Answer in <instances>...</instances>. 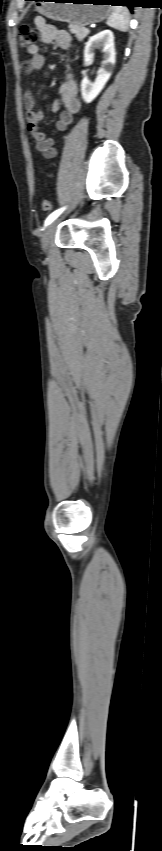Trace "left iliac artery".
Masks as SVG:
<instances>
[{"label": "left iliac artery", "instance_id": "obj_1", "mask_svg": "<svg viewBox=\"0 0 162 851\" xmlns=\"http://www.w3.org/2000/svg\"><path fill=\"white\" fill-rule=\"evenodd\" d=\"M63 210H64V208H61V209H58V210L54 211L53 213H51V214L47 217V219L45 220V226H47V225H49L51 222H53V221H54V220H55V219H56V218H57V217L61 214V212H62Z\"/></svg>", "mask_w": 162, "mask_h": 851}]
</instances>
